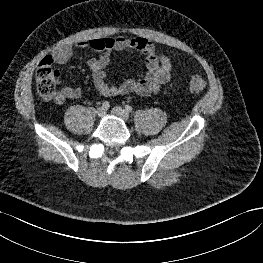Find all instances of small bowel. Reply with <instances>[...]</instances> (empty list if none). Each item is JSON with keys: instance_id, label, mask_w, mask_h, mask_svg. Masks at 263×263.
I'll return each mask as SVG.
<instances>
[{"instance_id": "1", "label": "small bowel", "mask_w": 263, "mask_h": 263, "mask_svg": "<svg viewBox=\"0 0 263 263\" xmlns=\"http://www.w3.org/2000/svg\"><path fill=\"white\" fill-rule=\"evenodd\" d=\"M75 48H89L100 53L99 57L90 58L87 64L96 90L104 97L129 93L151 95L170 80L172 64L169 57L159 53L154 43L144 37L93 38L75 44H64L53 50L51 58L58 64H64L71 59ZM115 51H137L143 58L144 72L138 78H127L118 85L108 82L106 68L110 63L111 53ZM81 94L80 87L66 85L56 93L54 100L60 104L67 99L79 98Z\"/></svg>"}]
</instances>
